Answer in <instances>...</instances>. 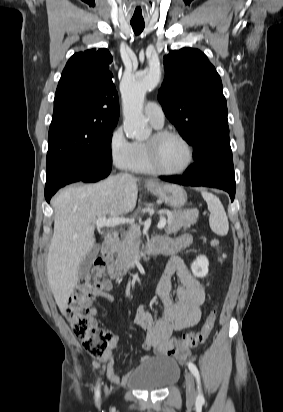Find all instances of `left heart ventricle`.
<instances>
[{"instance_id": "1", "label": "left heart ventricle", "mask_w": 283, "mask_h": 412, "mask_svg": "<svg viewBox=\"0 0 283 412\" xmlns=\"http://www.w3.org/2000/svg\"><path fill=\"white\" fill-rule=\"evenodd\" d=\"M188 160L186 146L175 137H166L158 148V162L165 170H179L184 167Z\"/></svg>"}]
</instances>
